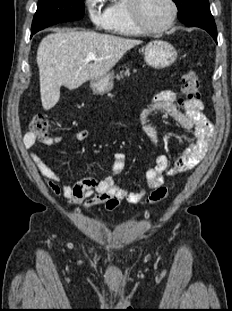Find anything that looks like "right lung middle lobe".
Returning <instances> with one entry per match:
<instances>
[{
	"label": "right lung middle lobe",
	"mask_w": 232,
	"mask_h": 311,
	"mask_svg": "<svg viewBox=\"0 0 232 311\" xmlns=\"http://www.w3.org/2000/svg\"><path fill=\"white\" fill-rule=\"evenodd\" d=\"M84 15V0H38L32 31L36 33L48 26L81 19Z\"/></svg>",
	"instance_id": "dd1d6c3e"
}]
</instances>
